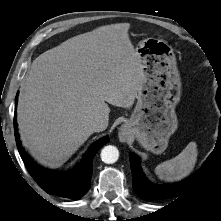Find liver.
Here are the masks:
<instances>
[{"instance_id": "obj_1", "label": "liver", "mask_w": 221, "mask_h": 221, "mask_svg": "<svg viewBox=\"0 0 221 221\" xmlns=\"http://www.w3.org/2000/svg\"><path fill=\"white\" fill-rule=\"evenodd\" d=\"M129 23L99 27L45 51L31 65L19 95L17 120L23 145L41 164L67 161L109 117L108 103L130 108L144 74Z\"/></svg>"}]
</instances>
